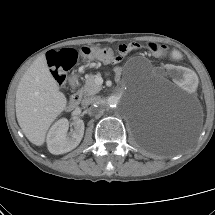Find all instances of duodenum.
<instances>
[{
	"instance_id": "410a0bca",
	"label": "duodenum",
	"mask_w": 215,
	"mask_h": 215,
	"mask_svg": "<svg viewBox=\"0 0 215 215\" xmlns=\"http://www.w3.org/2000/svg\"><path fill=\"white\" fill-rule=\"evenodd\" d=\"M71 85L73 88H75L77 86V77L76 76H73L71 78ZM80 100H81L80 93L77 91L74 92L68 101V105H67L68 110L75 109L77 107V105L79 104Z\"/></svg>"
}]
</instances>
